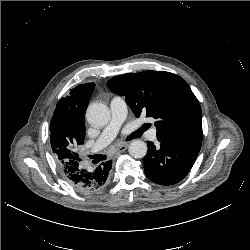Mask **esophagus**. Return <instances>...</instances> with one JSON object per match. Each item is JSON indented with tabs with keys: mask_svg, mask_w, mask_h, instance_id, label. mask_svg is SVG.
Here are the masks:
<instances>
[{
	"mask_svg": "<svg viewBox=\"0 0 250 250\" xmlns=\"http://www.w3.org/2000/svg\"><path fill=\"white\" fill-rule=\"evenodd\" d=\"M127 148H128V144H127V143H123V144H121V145H118V146L116 147V150H117L118 152H124Z\"/></svg>",
	"mask_w": 250,
	"mask_h": 250,
	"instance_id": "obj_1",
	"label": "esophagus"
}]
</instances>
